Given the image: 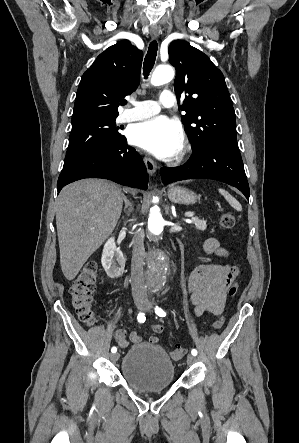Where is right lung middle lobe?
<instances>
[{
    "label": "right lung middle lobe",
    "mask_w": 299,
    "mask_h": 443,
    "mask_svg": "<svg viewBox=\"0 0 299 443\" xmlns=\"http://www.w3.org/2000/svg\"><path fill=\"white\" fill-rule=\"evenodd\" d=\"M115 120L116 117H97L72 123L73 129L63 167L123 139L124 136L119 133Z\"/></svg>",
    "instance_id": "1"
}]
</instances>
